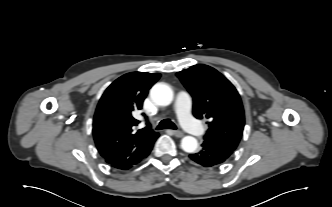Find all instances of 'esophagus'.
Instances as JSON below:
<instances>
[{"label": "esophagus", "instance_id": "1", "mask_svg": "<svg viewBox=\"0 0 332 207\" xmlns=\"http://www.w3.org/2000/svg\"><path fill=\"white\" fill-rule=\"evenodd\" d=\"M172 133L175 137L177 138H181L184 136L183 132L179 131V130H172Z\"/></svg>", "mask_w": 332, "mask_h": 207}]
</instances>
